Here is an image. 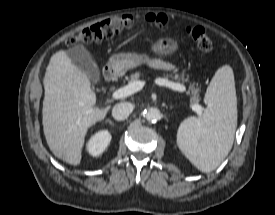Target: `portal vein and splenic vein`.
I'll list each match as a JSON object with an SVG mask.
<instances>
[{
	"label": "portal vein and splenic vein",
	"instance_id": "1",
	"mask_svg": "<svg viewBox=\"0 0 275 215\" xmlns=\"http://www.w3.org/2000/svg\"><path fill=\"white\" fill-rule=\"evenodd\" d=\"M154 83L159 86H165L172 90L179 91V92H185L186 87L183 84L180 83H174L172 81H169L164 78H156L154 80ZM145 83L143 81H135L132 83H129L128 85L121 87L113 92L112 98L113 99H121L127 96H130L138 91H140L144 87ZM192 110L197 112L199 115L202 114V107L199 104L192 105Z\"/></svg>",
	"mask_w": 275,
	"mask_h": 215
}]
</instances>
